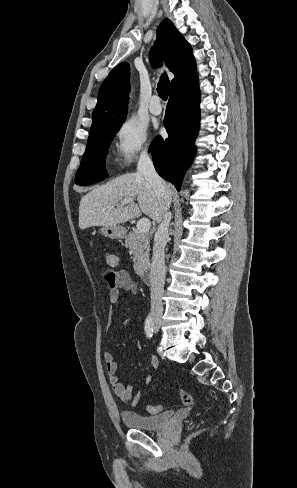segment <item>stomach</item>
<instances>
[{
	"mask_svg": "<svg viewBox=\"0 0 297 488\" xmlns=\"http://www.w3.org/2000/svg\"><path fill=\"white\" fill-rule=\"evenodd\" d=\"M102 234L108 238H124L126 236V230L123 226H104L101 229Z\"/></svg>",
	"mask_w": 297,
	"mask_h": 488,
	"instance_id": "0dacf381",
	"label": "stomach"
}]
</instances>
